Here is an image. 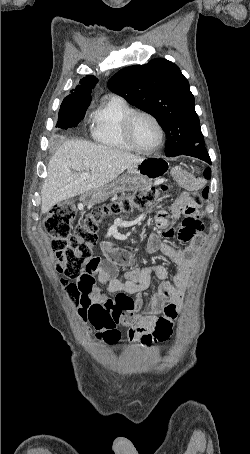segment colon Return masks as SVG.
<instances>
[{"mask_svg":"<svg viewBox=\"0 0 250 454\" xmlns=\"http://www.w3.org/2000/svg\"><path fill=\"white\" fill-rule=\"evenodd\" d=\"M194 172L206 179L210 177L208 169ZM171 190L170 185H163L160 188H149L132 195H123L108 205L94 209L74 229L76 208L73 200L61 201L51 208L45 219L44 227L51 238L56 269L64 275L62 284L74 305L80 304V291L78 285L70 280L79 277L94 258V250L98 241L97 232L102 218L111 214L145 210L155 204L164 193ZM202 196H207L206 190L203 191ZM87 319L97 330L98 338L111 344L120 340L121 334L117 326L123 323L104 305H90L87 310Z\"/></svg>","mask_w":250,"mask_h":454,"instance_id":"1","label":"colon"}]
</instances>
